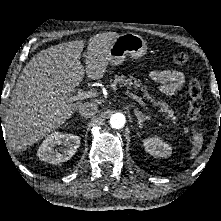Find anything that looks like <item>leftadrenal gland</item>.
I'll return each instance as SVG.
<instances>
[{
  "label": "left adrenal gland",
  "mask_w": 221,
  "mask_h": 221,
  "mask_svg": "<svg viewBox=\"0 0 221 221\" xmlns=\"http://www.w3.org/2000/svg\"><path fill=\"white\" fill-rule=\"evenodd\" d=\"M134 113H135V116L137 117L138 119V125H139V128L142 129V124L143 122H145L149 117L141 114V112L138 110V109H135L134 110Z\"/></svg>",
  "instance_id": "1"
}]
</instances>
